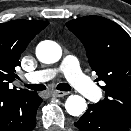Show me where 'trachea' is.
<instances>
[{
  "mask_svg": "<svg viewBox=\"0 0 131 131\" xmlns=\"http://www.w3.org/2000/svg\"><path fill=\"white\" fill-rule=\"evenodd\" d=\"M25 86L28 89L35 90V91H43L46 89V86H44L43 84H25ZM56 89L60 91H70L71 86L66 83H60L57 85Z\"/></svg>",
  "mask_w": 131,
  "mask_h": 131,
  "instance_id": "3493384b",
  "label": "trachea"
}]
</instances>
